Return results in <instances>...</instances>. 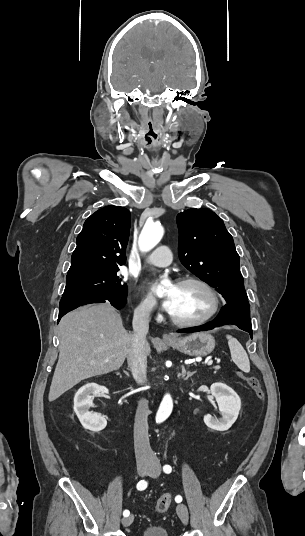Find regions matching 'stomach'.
Returning a JSON list of instances; mask_svg holds the SVG:
<instances>
[{"label":"stomach","instance_id":"1","mask_svg":"<svg viewBox=\"0 0 305 536\" xmlns=\"http://www.w3.org/2000/svg\"><path fill=\"white\" fill-rule=\"evenodd\" d=\"M166 344L172 346L174 350H179L182 354H187V356H207L215 348V340L209 332H197V334H191L186 338L170 340Z\"/></svg>","mask_w":305,"mask_h":536}]
</instances>
